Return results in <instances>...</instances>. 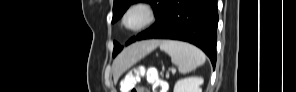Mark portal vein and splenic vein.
<instances>
[{"label":"portal vein and splenic vein","mask_w":296,"mask_h":92,"mask_svg":"<svg viewBox=\"0 0 296 92\" xmlns=\"http://www.w3.org/2000/svg\"><path fill=\"white\" fill-rule=\"evenodd\" d=\"M171 71H172V73H175L176 72V69L175 68H172Z\"/></svg>","instance_id":"obj_1"}]
</instances>
